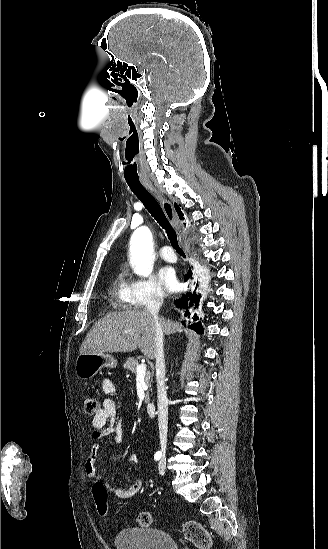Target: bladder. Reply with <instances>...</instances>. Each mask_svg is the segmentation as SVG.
Instances as JSON below:
<instances>
[{
    "instance_id": "bladder-1",
    "label": "bladder",
    "mask_w": 328,
    "mask_h": 549,
    "mask_svg": "<svg viewBox=\"0 0 328 549\" xmlns=\"http://www.w3.org/2000/svg\"><path fill=\"white\" fill-rule=\"evenodd\" d=\"M117 549H176L174 539L163 530L128 529L116 535Z\"/></svg>"
}]
</instances>
